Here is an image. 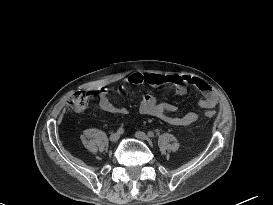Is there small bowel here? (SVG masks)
<instances>
[{
    "label": "small bowel",
    "mask_w": 273,
    "mask_h": 205,
    "mask_svg": "<svg viewBox=\"0 0 273 205\" xmlns=\"http://www.w3.org/2000/svg\"><path fill=\"white\" fill-rule=\"evenodd\" d=\"M126 83L130 85H160L163 83H170L175 86V93L178 96H184L187 94V85L192 84L202 94V98L198 101V106L204 109H212L217 103L218 99L213 89L209 84L201 79L188 76L179 75H161L156 73H132L126 78ZM119 89H123L120 87ZM99 107L109 113L126 115L128 110L125 107H118L114 105L109 97L107 88H101L99 90ZM176 106L170 102H158L156 98L145 93L142 96L139 110L144 115H150L175 126H187L194 123L198 116L195 112H187L183 116H170L168 113L176 111Z\"/></svg>",
    "instance_id": "1"
}]
</instances>
